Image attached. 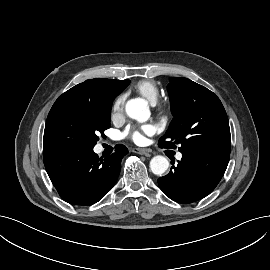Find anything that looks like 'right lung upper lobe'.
<instances>
[{"label": "right lung upper lobe", "instance_id": "cb5924a9", "mask_svg": "<svg viewBox=\"0 0 270 270\" xmlns=\"http://www.w3.org/2000/svg\"><path fill=\"white\" fill-rule=\"evenodd\" d=\"M130 83L129 80L95 78L80 83L63 93L51 109L69 104L89 103L98 106L112 104L114 98Z\"/></svg>", "mask_w": 270, "mask_h": 270}]
</instances>
